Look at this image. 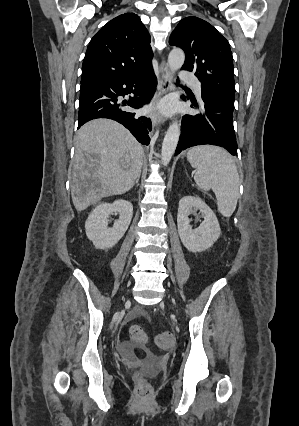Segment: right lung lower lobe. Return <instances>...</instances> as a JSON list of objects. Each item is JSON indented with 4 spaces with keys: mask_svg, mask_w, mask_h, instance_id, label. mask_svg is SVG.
Returning a JSON list of instances; mask_svg holds the SVG:
<instances>
[{
    "mask_svg": "<svg viewBox=\"0 0 299 426\" xmlns=\"http://www.w3.org/2000/svg\"><path fill=\"white\" fill-rule=\"evenodd\" d=\"M153 68L109 82H87L80 87L78 128L95 118H109L123 124L142 144L148 145L150 119L138 116L133 109L147 104L155 91ZM133 93L129 100L120 96Z\"/></svg>",
    "mask_w": 299,
    "mask_h": 426,
    "instance_id": "obj_1",
    "label": "right lung lower lobe"
}]
</instances>
